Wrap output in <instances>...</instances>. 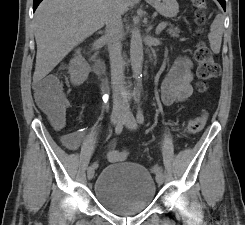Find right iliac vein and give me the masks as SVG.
I'll return each instance as SVG.
<instances>
[{
    "label": "right iliac vein",
    "mask_w": 245,
    "mask_h": 225,
    "mask_svg": "<svg viewBox=\"0 0 245 225\" xmlns=\"http://www.w3.org/2000/svg\"><path fill=\"white\" fill-rule=\"evenodd\" d=\"M122 118H123L122 111H114L112 113V115H111V122H112V124L116 125V124L121 122ZM94 174H95L94 168L93 167H89L87 169V177H88V179L89 180L93 179Z\"/></svg>",
    "instance_id": "1"
}]
</instances>
